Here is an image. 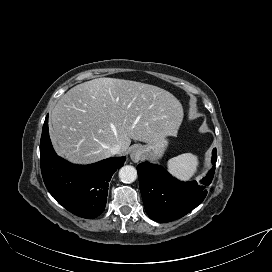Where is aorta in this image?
I'll return each mask as SVG.
<instances>
[{
  "instance_id": "762f6f07",
  "label": "aorta",
  "mask_w": 272,
  "mask_h": 272,
  "mask_svg": "<svg viewBox=\"0 0 272 272\" xmlns=\"http://www.w3.org/2000/svg\"><path fill=\"white\" fill-rule=\"evenodd\" d=\"M119 178L123 183H132L137 179V170L131 165L121 167Z\"/></svg>"
}]
</instances>
